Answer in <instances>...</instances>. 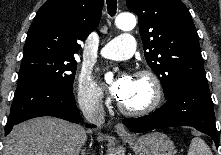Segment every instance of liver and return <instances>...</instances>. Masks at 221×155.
Listing matches in <instances>:
<instances>
[{
    "label": "liver",
    "instance_id": "1",
    "mask_svg": "<svg viewBox=\"0 0 221 155\" xmlns=\"http://www.w3.org/2000/svg\"><path fill=\"white\" fill-rule=\"evenodd\" d=\"M86 138V131L79 125L39 117L12 129L4 141L3 155H79Z\"/></svg>",
    "mask_w": 221,
    "mask_h": 155
}]
</instances>
